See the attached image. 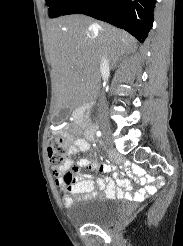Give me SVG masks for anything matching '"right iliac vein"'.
I'll list each match as a JSON object with an SVG mask.
<instances>
[{
	"label": "right iliac vein",
	"mask_w": 183,
	"mask_h": 246,
	"mask_svg": "<svg viewBox=\"0 0 183 246\" xmlns=\"http://www.w3.org/2000/svg\"><path fill=\"white\" fill-rule=\"evenodd\" d=\"M100 128L102 130L104 139L109 142L111 140V129L107 122H101Z\"/></svg>",
	"instance_id": "63e3f726"
}]
</instances>
